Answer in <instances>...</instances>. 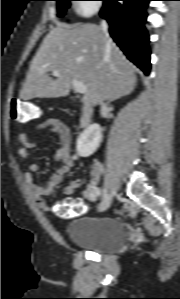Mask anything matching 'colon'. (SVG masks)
<instances>
[{
	"mask_svg": "<svg viewBox=\"0 0 180 299\" xmlns=\"http://www.w3.org/2000/svg\"><path fill=\"white\" fill-rule=\"evenodd\" d=\"M10 117L17 124L27 125L40 119L41 110L34 103L12 99L10 102ZM86 210V205L83 202L67 199L57 204L56 212L64 217H75L82 215Z\"/></svg>",
	"mask_w": 180,
	"mask_h": 299,
	"instance_id": "colon-1",
	"label": "colon"
}]
</instances>
